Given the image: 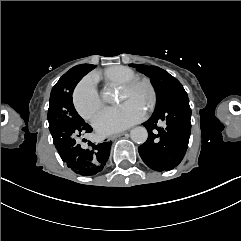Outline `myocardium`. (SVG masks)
<instances>
[{"instance_id":"obj_1","label":"myocardium","mask_w":241,"mask_h":241,"mask_svg":"<svg viewBox=\"0 0 241 241\" xmlns=\"http://www.w3.org/2000/svg\"><path fill=\"white\" fill-rule=\"evenodd\" d=\"M141 77H142V74L138 73L137 77L133 76V77H130L127 80H125L123 82L122 86L127 87V88L134 87L137 84V82L141 80Z\"/></svg>"}]
</instances>
